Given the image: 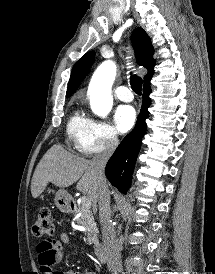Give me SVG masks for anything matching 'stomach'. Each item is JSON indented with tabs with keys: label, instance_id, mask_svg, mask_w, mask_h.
<instances>
[{
	"label": "stomach",
	"instance_id": "1",
	"mask_svg": "<svg viewBox=\"0 0 215 274\" xmlns=\"http://www.w3.org/2000/svg\"><path fill=\"white\" fill-rule=\"evenodd\" d=\"M70 195L64 189H59L55 195V205L63 212L69 210Z\"/></svg>",
	"mask_w": 215,
	"mask_h": 274
}]
</instances>
